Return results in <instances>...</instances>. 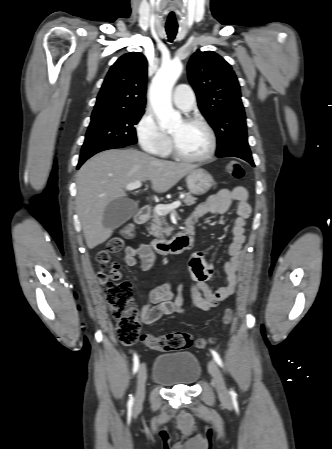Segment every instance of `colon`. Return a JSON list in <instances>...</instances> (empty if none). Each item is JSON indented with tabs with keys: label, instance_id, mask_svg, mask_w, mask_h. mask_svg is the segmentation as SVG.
Here are the masks:
<instances>
[{
	"label": "colon",
	"instance_id": "5ec220e1",
	"mask_svg": "<svg viewBox=\"0 0 332 449\" xmlns=\"http://www.w3.org/2000/svg\"><path fill=\"white\" fill-rule=\"evenodd\" d=\"M226 170L235 179H240L244 176V169L241 163L237 161L229 162ZM134 233L135 228L132 224L123 227L120 232L121 236L111 239L107 246L100 250L96 256V262L101 269L99 278L105 282V297L113 316L117 320L116 332L118 338L126 345H131L140 340L147 347L159 351H179L189 348L193 343V338L187 332H175L161 336L140 334V322L137 318L138 311L133 306L132 287L127 281H119L121 271L119 265H112L109 272V276L115 282H106L107 274L105 269L110 263V255L120 251L123 246V239H131ZM232 316V311L227 309L222 316L223 324H229ZM195 344L197 347H204L206 341L204 339H197Z\"/></svg>",
	"mask_w": 332,
	"mask_h": 449
}]
</instances>
